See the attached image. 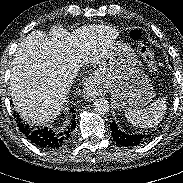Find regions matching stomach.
<instances>
[{
	"instance_id": "stomach-1",
	"label": "stomach",
	"mask_w": 183,
	"mask_h": 183,
	"mask_svg": "<svg viewBox=\"0 0 183 183\" xmlns=\"http://www.w3.org/2000/svg\"><path fill=\"white\" fill-rule=\"evenodd\" d=\"M137 57L124 41H115L96 72L97 84L112 94L118 110H138L153 98V86L148 75L136 67Z\"/></svg>"
}]
</instances>
